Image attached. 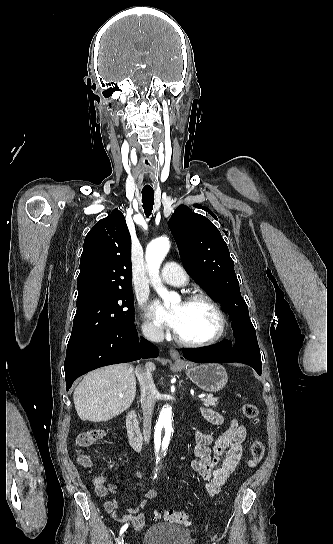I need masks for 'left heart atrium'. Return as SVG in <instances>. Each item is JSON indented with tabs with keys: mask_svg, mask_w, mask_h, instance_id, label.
Segmentation results:
<instances>
[{
	"mask_svg": "<svg viewBox=\"0 0 333 544\" xmlns=\"http://www.w3.org/2000/svg\"><path fill=\"white\" fill-rule=\"evenodd\" d=\"M152 313L159 323H163L174 330L178 328L181 318V308H174L168 311L159 302H155L152 306Z\"/></svg>",
	"mask_w": 333,
	"mask_h": 544,
	"instance_id": "obj_1",
	"label": "left heart atrium"
}]
</instances>
